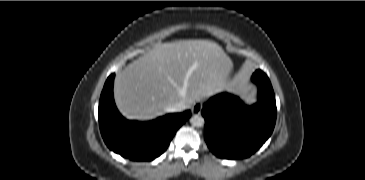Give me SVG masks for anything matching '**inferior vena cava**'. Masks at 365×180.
Returning a JSON list of instances; mask_svg holds the SVG:
<instances>
[{
  "mask_svg": "<svg viewBox=\"0 0 365 180\" xmlns=\"http://www.w3.org/2000/svg\"><path fill=\"white\" fill-rule=\"evenodd\" d=\"M187 109V105L185 104V102L181 101L177 104H175L174 106L169 108V111L171 112H180Z\"/></svg>",
  "mask_w": 365,
  "mask_h": 180,
  "instance_id": "obj_1",
  "label": "inferior vena cava"
}]
</instances>
